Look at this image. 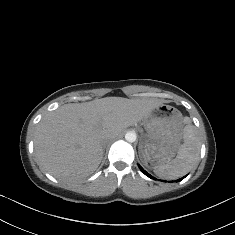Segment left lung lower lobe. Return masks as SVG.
<instances>
[{
	"label": "left lung lower lobe",
	"mask_w": 235,
	"mask_h": 235,
	"mask_svg": "<svg viewBox=\"0 0 235 235\" xmlns=\"http://www.w3.org/2000/svg\"><path fill=\"white\" fill-rule=\"evenodd\" d=\"M140 170L148 177L152 178L150 174H148L140 165H139ZM186 176H184L182 179H184ZM182 179L176 180V182L181 181Z\"/></svg>",
	"instance_id": "0a47b994"
}]
</instances>
